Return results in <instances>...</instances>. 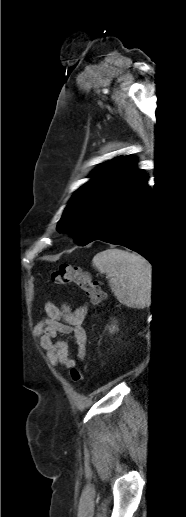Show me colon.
<instances>
[{
    "instance_id": "1",
    "label": "colon",
    "mask_w": 186,
    "mask_h": 517,
    "mask_svg": "<svg viewBox=\"0 0 186 517\" xmlns=\"http://www.w3.org/2000/svg\"><path fill=\"white\" fill-rule=\"evenodd\" d=\"M51 279L58 285H76L85 292L94 305H99L104 300L105 295L100 287V283L90 279L89 276L77 266L62 264L51 273ZM70 376L75 383L81 382L84 378L82 370L75 366L71 368Z\"/></svg>"
}]
</instances>
